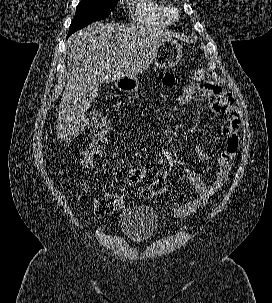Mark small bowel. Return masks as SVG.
I'll return each mask as SVG.
<instances>
[{"label": "small bowel", "instance_id": "small-bowel-1", "mask_svg": "<svg viewBox=\"0 0 272 303\" xmlns=\"http://www.w3.org/2000/svg\"><path fill=\"white\" fill-rule=\"evenodd\" d=\"M160 80L165 85H173L178 81V78L171 73H163L160 76ZM195 89L201 97L211 101L210 107L214 114L226 118L222 125V134L226 138V146L217 158V171L211 183H206L203 177L193 169H184L186 178L192 184L198 196L194 200L173 208L172 212L176 218H185L194 213L221 189L228 177L230 163L238 149L240 119L233 105L232 97L224 93L219 85L211 81L200 82L195 86ZM195 152L200 160H210V156L200 144L196 145ZM146 175L145 168L140 166L131 167L127 172L126 182L132 186L137 185L145 179Z\"/></svg>", "mask_w": 272, "mask_h": 303}]
</instances>
